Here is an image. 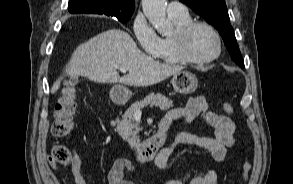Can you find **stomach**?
Instances as JSON below:
<instances>
[{
	"mask_svg": "<svg viewBox=\"0 0 293 184\" xmlns=\"http://www.w3.org/2000/svg\"><path fill=\"white\" fill-rule=\"evenodd\" d=\"M171 82L174 90L181 94H191L198 87L197 77L189 71L174 74ZM131 96V91L123 85H115L110 90V97L116 103H125Z\"/></svg>",
	"mask_w": 293,
	"mask_h": 184,
	"instance_id": "stomach-1",
	"label": "stomach"
}]
</instances>
